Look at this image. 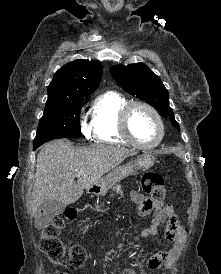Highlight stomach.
I'll use <instances>...</instances> for the list:
<instances>
[{
	"label": "stomach",
	"mask_w": 221,
	"mask_h": 274,
	"mask_svg": "<svg viewBox=\"0 0 221 274\" xmlns=\"http://www.w3.org/2000/svg\"><path fill=\"white\" fill-rule=\"evenodd\" d=\"M154 164V156L145 152L139 155L134 161L114 168L106 176L101 178L93 187L96 192L105 194L117 182L125 179L129 175H134L138 170H146Z\"/></svg>",
	"instance_id": "stomach-1"
}]
</instances>
